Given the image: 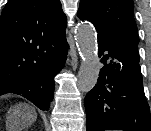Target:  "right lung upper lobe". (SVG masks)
<instances>
[{
  "label": "right lung upper lobe",
  "mask_w": 151,
  "mask_h": 131,
  "mask_svg": "<svg viewBox=\"0 0 151 131\" xmlns=\"http://www.w3.org/2000/svg\"><path fill=\"white\" fill-rule=\"evenodd\" d=\"M59 0H9L0 17V93L39 71L65 38Z\"/></svg>",
  "instance_id": "cb5924a9"
}]
</instances>
